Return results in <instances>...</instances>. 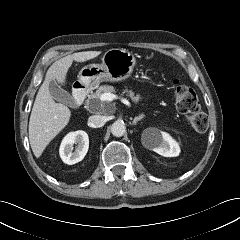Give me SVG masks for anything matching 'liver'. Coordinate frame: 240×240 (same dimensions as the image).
I'll return each mask as SVG.
<instances>
[{
    "instance_id": "obj_1",
    "label": "liver",
    "mask_w": 240,
    "mask_h": 240,
    "mask_svg": "<svg viewBox=\"0 0 240 240\" xmlns=\"http://www.w3.org/2000/svg\"><path fill=\"white\" fill-rule=\"evenodd\" d=\"M100 54V51L73 53L57 60L47 70L29 120V142L37 158L42 155L51 140L65 128L71 117V111L66 105L53 100L48 89L49 82L57 80L59 83L65 84L67 72L73 61L85 62Z\"/></svg>"
}]
</instances>
